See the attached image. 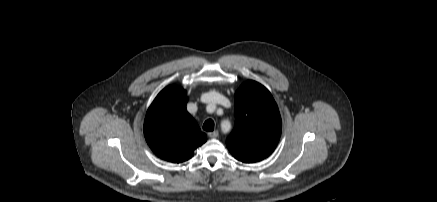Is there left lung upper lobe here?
I'll return each mask as SVG.
<instances>
[{
  "instance_id": "left-lung-upper-lobe-1",
  "label": "left lung upper lobe",
  "mask_w": 437,
  "mask_h": 202,
  "mask_svg": "<svg viewBox=\"0 0 437 202\" xmlns=\"http://www.w3.org/2000/svg\"><path fill=\"white\" fill-rule=\"evenodd\" d=\"M281 116L270 92L247 81L235 94V127L226 146L239 161L254 163L268 157L281 135Z\"/></svg>"
}]
</instances>
